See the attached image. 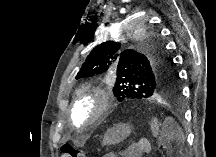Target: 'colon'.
I'll return each mask as SVG.
<instances>
[{"mask_svg":"<svg viewBox=\"0 0 216 157\" xmlns=\"http://www.w3.org/2000/svg\"><path fill=\"white\" fill-rule=\"evenodd\" d=\"M151 124L153 129H157L158 122L156 119H153ZM61 157H83V154L72 145L64 144L61 147Z\"/></svg>","mask_w":216,"mask_h":157,"instance_id":"colon-1","label":"colon"}]
</instances>
